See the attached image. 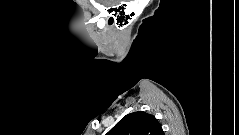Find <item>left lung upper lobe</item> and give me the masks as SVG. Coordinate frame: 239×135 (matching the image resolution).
I'll list each match as a JSON object with an SVG mask.
<instances>
[{
	"instance_id": "5c2ea615",
	"label": "left lung upper lobe",
	"mask_w": 239,
	"mask_h": 135,
	"mask_svg": "<svg viewBox=\"0 0 239 135\" xmlns=\"http://www.w3.org/2000/svg\"><path fill=\"white\" fill-rule=\"evenodd\" d=\"M107 135H163V130L153 115L137 111L124 116Z\"/></svg>"
}]
</instances>
